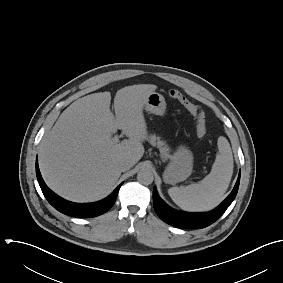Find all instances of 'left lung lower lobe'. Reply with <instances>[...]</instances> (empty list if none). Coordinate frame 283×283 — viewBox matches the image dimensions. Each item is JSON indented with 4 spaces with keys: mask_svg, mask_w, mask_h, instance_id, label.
I'll return each instance as SVG.
<instances>
[{
    "mask_svg": "<svg viewBox=\"0 0 283 283\" xmlns=\"http://www.w3.org/2000/svg\"><path fill=\"white\" fill-rule=\"evenodd\" d=\"M240 182V173L234 189L229 196L214 210L207 213H188L174 210L167 206L159 197L156 188L153 189V204L157 215L166 223L183 229H199L214 223L233 202Z\"/></svg>",
    "mask_w": 283,
    "mask_h": 283,
    "instance_id": "left-lung-lower-lobe-1",
    "label": "left lung lower lobe"
}]
</instances>
